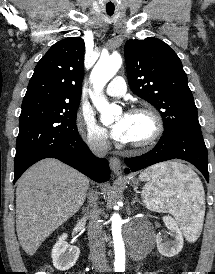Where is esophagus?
Here are the masks:
<instances>
[{
    "mask_svg": "<svg viewBox=\"0 0 215 274\" xmlns=\"http://www.w3.org/2000/svg\"><path fill=\"white\" fill-rule=\"evenodd\" d=\"M109 165L111 170L116 174V175H121L122 174V165L121 161L117 157H111L109 160Z\"/></svg>",
    "mask_w": 215,
    "mask_h": 274,
    "instance_id": "1",
    "label": "esophagus"
}]
</instances>
